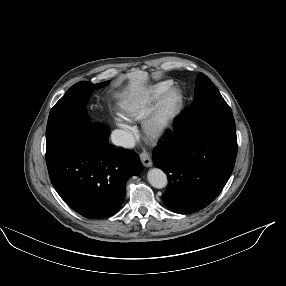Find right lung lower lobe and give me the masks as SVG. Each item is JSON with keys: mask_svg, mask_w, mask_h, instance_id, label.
Masks as SVG:
<instances>
[{"mask_svg": "<svg viewBox=\"0 0 286 286\" xmlns=\"http://www.w3.org/2000/svg\"><path fill=\"white\" fill-rule=\"evenodd\" d=\"M51 183L74 211L87 218L114 215L125 198L126 181L142 172L139 156L117 149L91 128L46 143Z\"/></svg>", "mask_w": 286, "mask_h": 286, "instance_id": "right-lung-lower-lobe-1", "label": "right lung lower lobe"}]
</instances>
